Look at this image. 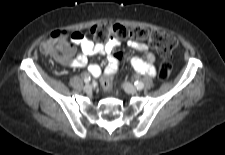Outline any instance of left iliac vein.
<instances>
[{
  "label": "left iliac vein",
  "instance_id": "obj_1",
  "mask_svg": "<svg viewBox=\"0 0 225 155\" xmlns=\"http://www.w3.org/2000/svg\"><path fill=\"white\" fill-rule=\"evenodd\" d=\"M123 89L125 90V92H127L128 94H137L138 90L130 83L125 82L122 84Z\"/></svg>",
  "mask_w": 225,
  "mask_h": 155
}]
</instances>
